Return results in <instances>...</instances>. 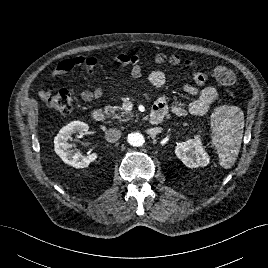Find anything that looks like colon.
<instances>
[{"mask_svg":"<svg viewBox=\"0 0 268 268\" xmlns=\"http://www.w3.org/2000/svg\"><path fill=\"white\" fill-rule=\"evenodd\" d=\"M188 62L189 63H186L188 66L193 67L197 65V63L193 61ZM169 63L176 65L180 63V58L178 56H172L169 59ZM211 72L214 78L223 86L229 87L235 83V73L225 66H213ZM44 101L47 108L62 113H68L72 108L73 93L68 89H61L54 94L47 93L44 97Z\"/></svg>","mask_w":268,"mask_h":268,"instance_id":"1","label":"colon"}]
</instances>
